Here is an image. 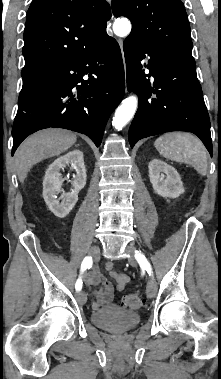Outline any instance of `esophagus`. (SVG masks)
Instances as JSON below:
<instances>
[{
  "label": "esophagus",
  "instance_id": "obj_1",
  "mask_svg": "<svg viewBox=\"0 0 221 379\" xmlns=\"http://www.w3.org/2000/svg\"><path fill=\"white\" fill-rule=\"evenodd\" d=\"M118 42H119L120 46H122V40L119 39Z\"/></svg>",
  "mask_w": 221,
  "mask_h": 379
}]
</instances>
